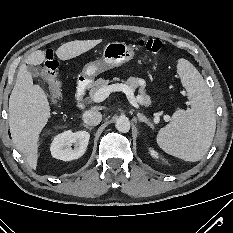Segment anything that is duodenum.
Returning a JSON list of instances; mask_svg holds the SVG:
<instances>
[{"label":"duodenum","instance_id":"410a0bca","mask_svg":"<svg viewBox=\"0 0 233 233\" xmlns=\"http://www.w3.org/2000/svg\"><path fill=\"white\" fill-rule=\"evenodd\" d=\"M87 86H88V82L86 79L80 78L77 81L75 97H76V104L78 109H83L84 107L83 98L86 93Z\"/></svg>","mask_w":233,"mask_h":233}]
</instances>
